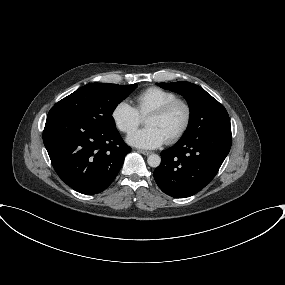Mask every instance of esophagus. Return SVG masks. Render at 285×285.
<instances>
[{
	"instance_id": "esophagus-1",
	"label": "esophagus",
	"mask_w": 285,
	"mask_h": 285,
	"mask_svg": "<svg viewBox=\"0 0 285 285\" xmlns=\"http://www.w3.org/2000/svg\"><path fill=\"white\" fill-rule=\"evenodd\" d=\"M137 151L143 155H146V156L152 154L151 151H147V150L138 149Z\"/></svg>"
}]
</instances>
